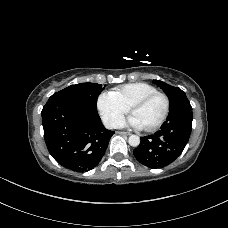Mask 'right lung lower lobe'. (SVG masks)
I'll use <instances>...</instances> for the list:
<instances>
[{"mask_svg":"<svg viewBox=\"0 0 228 228\" xmlns=\"http://www.w3.org/2000/svg\"><path fill=\"white\" fill-rule=\"evenodd\" d=\"M41 114L47 148L59 164L86 172L100 162L114 131L103 126L97 108L74 99L50 97Z\"/></svg>","mask_w":228,"mask_h":228,"instance_id":"right-lung-lower-lobe-1","label":"right lung lower lobe"}]
</instances>
